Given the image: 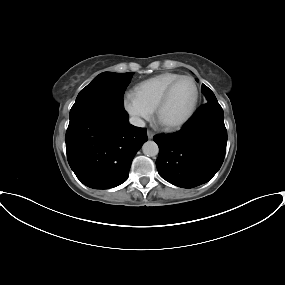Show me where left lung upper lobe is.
<instances>
[{"label":"left lung upper lobe","mask_w":285,"mask_h":285,"mask_svg":"<svg viewBox=\"0 0 285 285\" xmlns=\"http://www.w3.org/2000/svg\"><path fill=\"white\" fill-rule=\"evenodd\" d=\"M202 92L205 95L206 99H207V103L210 104H218L217 99L214 95V93L206 86V85H202Z\"/></svg>","instance_id":"5c2ea615"}]
</instances>
